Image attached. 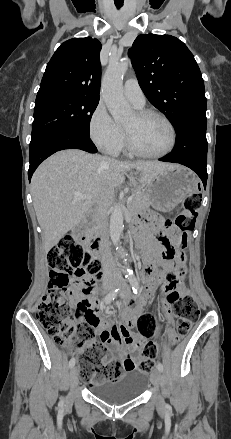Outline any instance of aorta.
Instances as JSON below:
<instances>
[{
  "instance_id": "762f6f07",
  "label": "aorta",
  "mask_w": 231,
  "mask_h": 439,
  "mask_svg": "<svg viewBox=\"0 0 231 439\" xmlns=\"http://www.w3.org/2000/svg\"><path fill=\"white\" fill-rule=\"evenodd\" d=\"M130 60L128 58L120 61L110 62L102 82V97L108 110L116 122H124L131 116V108L123 95V76L126 73ZM123 210L116 205L110 216L109 233L119 256L127 263V253L122 247H118L123 232Z\"/></svg>"
}]
</instances>
